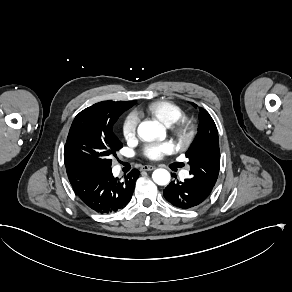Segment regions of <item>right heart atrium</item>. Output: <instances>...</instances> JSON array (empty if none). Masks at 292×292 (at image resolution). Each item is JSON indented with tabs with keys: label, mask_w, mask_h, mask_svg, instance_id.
<instances>
[{
	"label": "right heart atrium",
	"mask_w": 292,
	"mask_h": 292,
	"mask_svg": "<svg viewBox=\"0 0 292 292\" xmlns=\"http://www.w3.org/2000/svg\"><path fill=\"white\" fill-rule=\"evenodd\" d=\"M139 118L136 112L130 111L124 115L120 125V131L124 140L131 144L137 139Z\"/></svg>",
	"instance_id": "obj_1"
}]
</instances>
